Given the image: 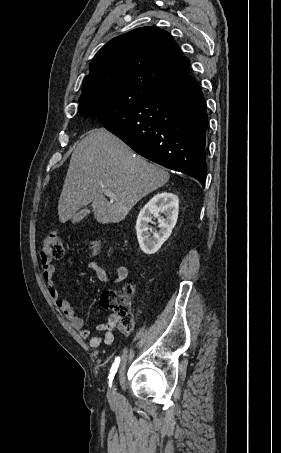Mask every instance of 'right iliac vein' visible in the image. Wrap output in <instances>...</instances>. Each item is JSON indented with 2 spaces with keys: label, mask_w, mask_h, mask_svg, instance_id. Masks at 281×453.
Wrapping results in <instances>:
<instances>
[{
  "label": "right iliac vein",
  "mask_w": 281,
  "mask_h": 453,
  "mask_svg": "<svg viewBox=\"0 0 281 453\" xmlns=\"http://www.w3.org/2000/svg\"><path fill=\"white\" fill-rule=\"evenodd\" d=\"M109 390L112 392L114 389L111 387Z\"/></svg>",
  "instance_id": "right-iliac-vein-1"
}]
</instances>
